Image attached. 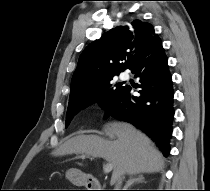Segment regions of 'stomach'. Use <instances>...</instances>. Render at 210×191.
I'll return each instance as SVG.
<instances>
[{"mask_svg":"<svg viewBox=\"0 0 210 191\" xmlns=\"http://www.w3.org/2000/svg\"><path fill=\"white\" fill-rule=\"evenodd\" d=\"M66 178L77 186H84L87 183V175L76 169L68 170Z\"/></svg>","mask_w":210,"mask_h":191,"instance_id":"obj_1","label":"stomach"}]
</instances>
